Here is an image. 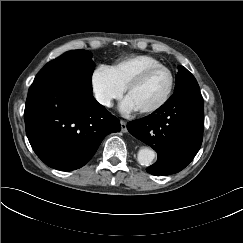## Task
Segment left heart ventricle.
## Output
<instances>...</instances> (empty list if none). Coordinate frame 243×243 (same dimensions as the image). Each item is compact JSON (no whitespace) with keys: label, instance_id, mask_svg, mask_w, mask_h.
I'll use <instances>...</instances> for the list:
<instances>
[{"label":"left heart ventricle","instance_id":"1","mask_svg":"<svg viewBox=\"0 0 243 243\" xmlns=\"http://www.w3.org/2000/svg\"><path fill=\"white\" fill-rule=\"evenodd\" d=\"M169 75L163 69L154 70L127 96L136 110L148 108L159 102L169 86Z\"/></svg>","mask_w":243,"mask_h":243}]
</instances>
